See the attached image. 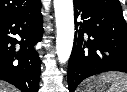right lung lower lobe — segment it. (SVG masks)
<instances>
[{"label": "right lung lower lobe", "instance_id": "98d812e1", "mask_svg": "<svg viewBox=\"0 0 127 92\" xmlns=\"http://www.w3.org/2000/svg\"><path fill=\"white\" fill-rule=\"evenodd\" d=\"M43 35L41 3L34 9L0 18V79L22 92H37L40 59L34 49Z\"/></svg>", "mask_w": 127, "mask_h": 92}]
</instances>
